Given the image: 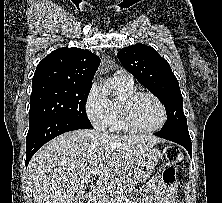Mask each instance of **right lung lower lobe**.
<instances>
[{"instance_id": "1", "label": "right lung lower lobe", "mask_w": 222, "mask_h": 203, "mask_svg": "<svg viewBox=\"0 0 222 203\" xmlns=\"http://www.w3.org/2000/svg\"><path fill=\"white\" fill-rule=\"evenodd\" d=\"M91 127L90 122L57 117L41 118L29 122L26 137V167L36 151L54 137L68 131Z\"/></svg>"}]
</instances>
